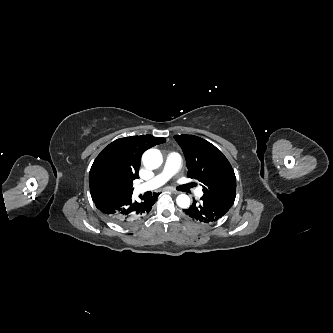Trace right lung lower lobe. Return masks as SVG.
I'll return each mask as SVG.
<instances>
[{"label": "right lung lower lobe", "mask_w": 333, "mask_h": 333, "mask_svg": "<svg viewBox=\"0 0 333 333\" xmlns=\"http://www.w3.org/2000/svg\"><path fill=\"white\" fill-rule=\"evenodd\" d=\"M159 193H154L150 198H142V202H132V193L104 192L92 197L96 207L112 222L129 226L145 217Z\"/></svg>", "instance_id": "1"}]
</instances>
